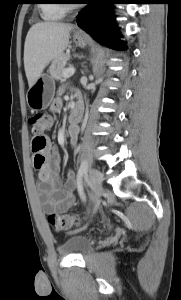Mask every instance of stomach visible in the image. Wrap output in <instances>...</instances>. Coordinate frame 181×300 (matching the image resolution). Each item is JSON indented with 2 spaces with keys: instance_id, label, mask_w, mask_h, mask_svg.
Segmentation results:
<instances>
[{
  "instance_id": "1",
  "label": "stomach",
  "mask_w": 181,
  "mask_h": 300,
  "mask_svg": "<svg viewBox=\"0 0 181 300\" xmlns=\"http://www.w3.org/2000/svg\"><path fill=\"white\" fill-rule=\"evenodd\" d=\"M73 40L79 47L86 46L87 39L84 35L75 33ZM54 92L55 83L53 78L43 74L35 84L29 88L26 96L27 104L34 111L46 109L53 100Z\"/></svg>"
}]
</instances>
